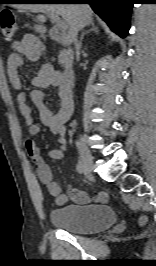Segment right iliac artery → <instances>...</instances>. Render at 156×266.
I'll return each mask as SVG.
<instances>
[{
    "mask_svg": "<svg viewBox=\"0 0 156 266\" xmlns=\"http://www.w3.org/2000/svg\"><path fill=\"white\" fill-rule=\"evenodd\" d=\"M76 146H77L78 149H79V142H78V141H76ZM76 169H77V172H78L79 174L84 173V166H83L81 160L78 161V164H77V166H76Z\"/></svg>",
    "mask_w": 156,
    "mask_h": 266,
    "instance_id": "obj_1",
    "label": "right iliac artery"
}]
</instances>
